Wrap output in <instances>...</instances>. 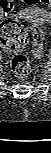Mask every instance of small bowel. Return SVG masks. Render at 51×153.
Masks as SVG:
<instances>
[{"instance_id":"small-bowel-1","label":"small bowel","mask_w":51,"mask_h":153,"mask_svg":"<svg viewBox=\"0 0 51 153\" xmlns=\"http://www.w3.org/2000/svg\"><path fill=\"white\" fill-rule=\"evenodd\" d=\"M1 7H2V10L7 13L9 12L11 9H12V3L7 1V0H2L1 1ZM37 22H42V19H37Z\"/></svg>"}]
</instances>
